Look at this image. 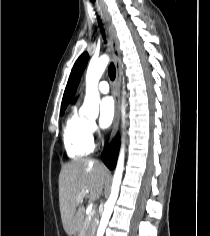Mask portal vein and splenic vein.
<instances>
[{
	"label": "portal vein and splenic vein",
	"mask_w": 210,
	"mask_h": 236,
	"mask_svg": "<svg viewBox=\"0 0 210 236\" xmlns=\"http://www.w3.org/2000/svg\"><path fill=\"white\" fill-rule=\"evenodd\" d=\"M79 198H81V197L79 196ZM94 214H95V211L92 210V211L90 212V216H89V218H91L92 216H94Z\"/></svg>",
	"instance_id": "obj_1"
}]
</instances>
